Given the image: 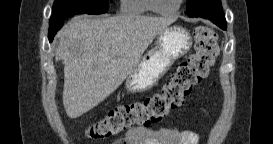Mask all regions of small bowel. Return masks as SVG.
<instances>
[{"instance_id": "obj_1", "label": "small bowel", "mask_w": 273, "mask_h": 144, "mask_svg": "<svg viewBox=\"0 0 273 144\" xmlns=\"http://www.w3.org/2000/svg\"><path fill=\"white\" fill-rule=\"evenodd\" d=\"M199 135L189 130L174 128H134L113 144H198Z\"/></svg>"}]
</instances>
